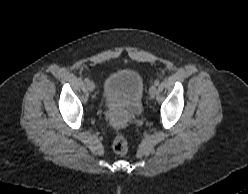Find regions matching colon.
<instances>
[{
  "label": "colon",
  "instance_id": "5ec220e1",
  "mask_svg": "<svg viewBox=\"0 0 248 194\" xmlns=\"http://www.w3.org/2000/svg\"><path fill=\"white\" fill-rule=\"evenodd\" d=\"M112 147L114 152L118 155H125L129 150L128 141L122 134L115 136Z\"/></svg>",
  "mask_w": 248,
  "mask_h": 194
}]
</instances>
